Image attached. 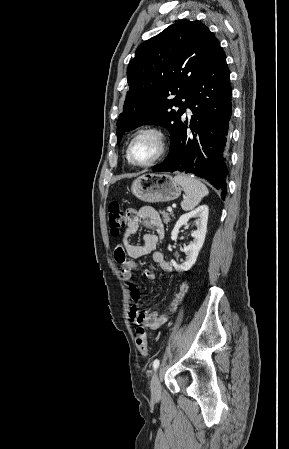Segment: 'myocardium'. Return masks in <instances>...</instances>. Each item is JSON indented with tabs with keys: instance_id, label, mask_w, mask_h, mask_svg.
Returning a JSON list of instances; mask_svg holds the SVG:
<instances>
[{
	"instance_id": "1",
	"label": "myocardium",
	"mask_w": 289,
	"mask_h": 449,
	"mask_svg": "<svg viewBox=\"0 0 289 449\" xmlns=\"http://www.w3.org/2000/svg\"><path fill=\"white\" fill-rule=\"evenodd\" d=\"M151 136L157 142V153L156 155L148 162L139 163L136 162L132 156V147L134 142L142 136ZM167 150V136L166 133L159 127L156 126H145L138 129L133 136L131 137L128 146H127V158L128 161L138 167H149L158 162L166 153Z\"/></svg>"
}]
</instances>
